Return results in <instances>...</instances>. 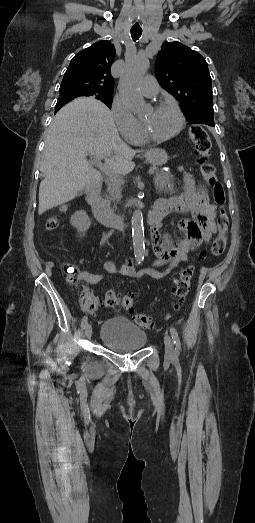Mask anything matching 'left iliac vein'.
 I'll use <instances>...</instances> for the list:
<instances>
[{"mask_svg": "<svg viewBox=\"0 0 255 523\" xmlns=\"http://www.w3.org/2000/svg\"><path fill=\"white\" fill-rule=\"evenodd\" d=\"M164 344H165V358L167 360H171L174 356V351H173V345H172L171 338L168 334H166L164 336Z\"/></svg>", "mask_w": 255, "mask_h": 523, "instance_id": "4c4485c4", "label": "left iliac vein"}]
</instances>
